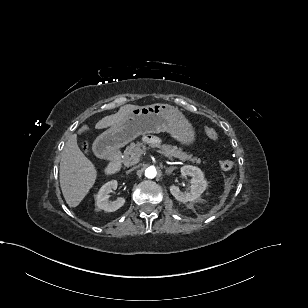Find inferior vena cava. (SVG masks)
<instances>
[{
  "instance_id": "inferior-vena-cava-1",
  "label": "inferior vena cava",
  "mask_w": 308,
  "mask_h": 308,
  "mask_svg": "<svg viewBox=\"0 0 308 308\" xmlns=\"http://www.w3.org/2000/svg\"><path fill=\"white\" fill-rule=\"evenodd\" d=\"M132 168H127V173H132Z\"/></svg>"
}]
</instances>
